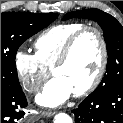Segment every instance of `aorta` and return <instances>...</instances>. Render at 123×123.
Wrapping results in <instances>:
<instances>
[{"label": "aorta", "mask_w": 123, "mask_h": 123, "mask_svg": "<svg viewBox=\"0 0 123 123\" xmlns=\"http://www.w3.org/2000/svg\"><path fill=\"white\" fill-rule=\"evenodd\" d=\"M54 123H73V121L68 114L58 113L54 117Z\"/></svg>", "instance_id": "762f6f07"}]
</instances>
